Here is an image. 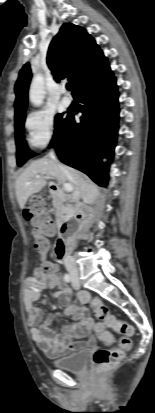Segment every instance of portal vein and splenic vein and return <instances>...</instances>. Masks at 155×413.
Listing matches in <instances>:
<instances>
[{
	"label": "portal vein and splenic vein",
	"mask_w": 155,
	"mask_h": 413,
	"mask_svg": "<svg viewBox=\"0 0 155 413\" xmlns=\"http://www.w3.org/2000/svg\"><path fill=\"white\" fill-rule=\"evenodd\" d=\"M43 178L47 179V180L52 179V177H50V176H44ZM63 189L66 193H70V192H72L73 187L70 184L66 183V184L63 185Z\"/></svg>",
	"instance_id": "portal-vein-and-splenic-vein-1"
}]
</instances>
